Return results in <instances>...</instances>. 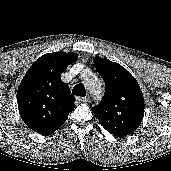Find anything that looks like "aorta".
<instances>
[{"label": "aorta", "mask_w": 171, "mask_h": 171, "mask_svg": "<svg viewBox=\"0 0 171 171\" xmlns=\"http://www.w3.org/2000/svg\"><path fill=\"white\" fill-rule=\"evenodd\" d=\"M93 84V83H92ZM94 85V84H93ZM96 87H97V85H96ZM93 88H94V86H93ZM93 88H92V91H94L95 93L96 92H99L98 90L96 91L95 89L93 90Z\"/></svg>", "instance_id": "762f6f07"}]
</instances>
